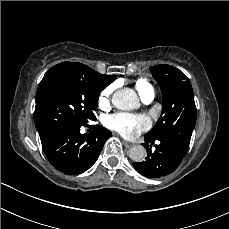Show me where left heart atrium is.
I'll return each mask as SVG.
<instances>
[{"mask_svg":"<svg viewBox=\"0 0 229 229\" xmlns=\"http://www.w3.org/2000/svg\"><path fill=\"white\" fill-rule=\"evenodd\" d=\"M106 125L121 135L133 138L150 128V119L145 115L116 113L107 118Z\"/></svg>","mask_w":229,"mask_h":229,"instance_id":"39dd6f15","label":"left heart atrium"}]
</instances>
